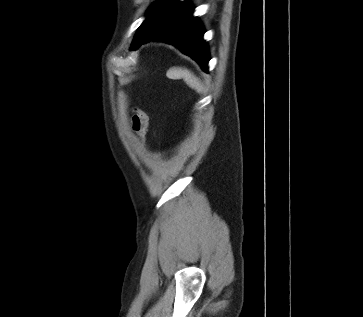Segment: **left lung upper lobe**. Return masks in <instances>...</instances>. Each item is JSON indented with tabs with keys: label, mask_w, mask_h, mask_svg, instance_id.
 Returning <instances> with one entry per match:
<instances>
[{
	"label": "left lung upper lobe",
	"mask_w": 363,
	"mask_h": 317,
	"mask_svg": "<svg viewBox=\"0 0 363 317\" xmlns=\"http://www.w3.org/2000/svg\"><path fill=\"white\" fill-rule=\"evenodd\" d=\"M158 2H156L153 6L150 7L149 11H148V17L147 19L142 23V25L139 27L136 35H135V38H134V41H133V44L136 43L141 37L142 35L144 34V32L146 31V29L148 28V25L151 21V15H152V12L154 11L156 5H157ZM132 44V45H133Z\"/></svg>",
	"instance_id": "left-lung-upper-lobe-1"
}]
</instances>
